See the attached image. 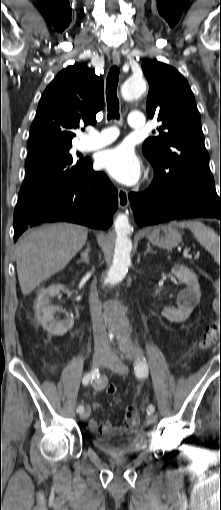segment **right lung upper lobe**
I'll list each match as a JSON object with an SVG mask.
<instances>
[{
    "mask_svg": "<svg viewBox=\"0 0 221 510\" xmlns=\"http://www.w3.org/2000/svg\"><path fill=\"white\" fill-rule=\"evenodd\" d=\"M104 101L103 79L82 64L63 69L45 89L27 142L29 153L68 148L80 126L94 125Z\"/></svg>",
    "mask_w": 221,
    "mask_h": 510,
    "instance_id": "obj_1",
    "label": "right lung upper lobe"
}]
</instances>
